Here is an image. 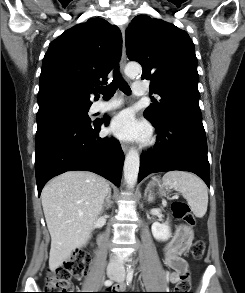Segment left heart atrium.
I'll use <instances>...</instances> for the list:
<instances>
[{
	"mask_svg": "<svg viewBox=\"0 0 245 293\" xmlns=\"http://www.w3.org/2000/svg\"><path fill=\"white\" fill-rule=\"evenodd\" d=\"M109 132L122 140L144 139L148 136L149 127L136 120L130 111H123L113 118Z\"/></svg>",
	"mask_w": 245,
	"mask_h": 293,
	"instance_id": "1",
	"label": "left heart atrium"
}]
</instances>
